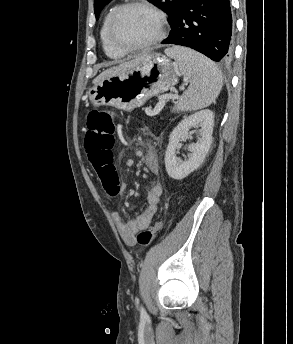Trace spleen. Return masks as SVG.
Returning <instances> with one entry per match:
<instances>
[{
  "mask_svg": "<svg viewBox=\"0 0 293 344\" xmlns=\"http://www.w3.org/2000/svg\"><path fill=\"white\" fill-rule=\"evenodd\" d=\"M188 80L189 87L176 102L174 111H194L209 106L218 97L223 78L216 64L204 55L185 47L167 48Z\"/></svg>",
  "mask_w": 293,
  "mask_h": 344,
  "instance_id": "spleen-1",
  "label": "spleen"
}]
</instances>
